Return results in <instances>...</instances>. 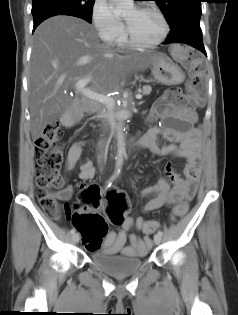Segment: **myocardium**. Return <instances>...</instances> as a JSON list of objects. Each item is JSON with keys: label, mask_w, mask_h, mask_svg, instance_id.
<instances>
[{"label": "myocardium", "mask_w": 238, "mask_h": 315, "mask_svg": "<svg viewBox=\"0 0 238 315\" xmlns=\"http://www.w3.org/2000/svg\"><path fill=\"white\" fill-rule=\"evenodd\" d=\"M137 9L147 10V11L153 12L155 15H157L161 21L163 30H162L160 37L158 39H156L155 41L149 42V43H143V42H139L133 38L131 31H130V28H129L128 24L125 22L124 23V37H125L127 44L133 48H136V49H149V48H154V47L160 45L167 38L169 31H170L169 23H168L165 15L162 13V11L160 9H158L155 6L142 5V6L138 7Z\"/></svg>", "instance_id": "f54148a6"}]
</instances>
